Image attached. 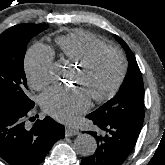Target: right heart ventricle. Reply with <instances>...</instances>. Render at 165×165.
Wrapping results in <instances>:
<instances>
[{
	"mask_svg": "<svg viewBox=\"0 0 165 165\" xmlns=\"http://www.w3.org/2000/svg\"><path fill=\"white\" fill-rule=\"evenodd\" d=\"M55 43L60 54L75 64H78L93 49L105 45L95 35L80 29L57 37Z\"/></svg>",
	"mask_w": 165,
	"mask_h": 165,
	"instance_id": "right-heart-ventricle-1",
	"label": "right heart ventricle"
}]
</instances>
